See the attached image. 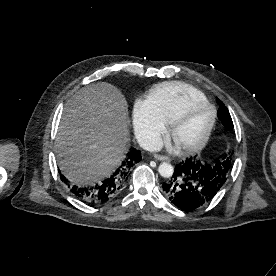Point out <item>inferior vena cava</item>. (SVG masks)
Wrapping results in <instances>:
<instances>
[{
	"label": "inferior vena cava",
	"mask_w": 276,
	"mask_h": 276,
	"mask_svg": "<svg viewBox=\"0 0 276 276\" xmlns=\"http://www.w3.org/2000/svg\"><path fill=\"white\" fill-rule=\"evenodd\" d=\"M139 145L150 152L160 151L163 147V141L160 135H143L137 139Z\"/></svg>",
	"instance_id": "obj_1"
}]
</instances>
